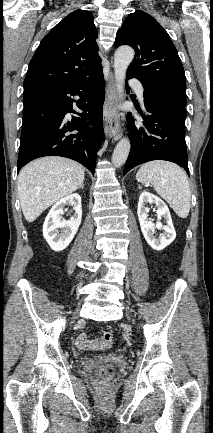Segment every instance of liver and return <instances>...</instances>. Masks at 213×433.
Here are the masks:
<instances>
[{
  "mask_svg": "<svg viewBox=\"0 0 213 433\" xmlns=\"http://www.w3.org/2000/svg\"><path fill=\"white\" fill-rule=\"evenodd\" d=\"M85 178L84 167L68 158L48 156L27 164L18 176L21 209L28 222L75 192Z\"/></svg>",
  "mask_w": 213,
  "mask_h": 433,
  "instance_id": "1",
  "label": "liver"
}]
</instances>
